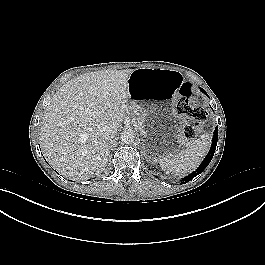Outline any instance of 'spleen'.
I'll list each match as a JSON object with an SVG mask.
<instances>
[{"mask_svg":"<svg viewBox=\"0 0 265 265\" xmlns=\"http://www.w3.org/2000/svg\"><path fill=\"white\" fill-rule=\"evenodd\" d=\"M210 136L203 134L189 144L186 149L159 158L163 171L174 176H181L196 169L206 155L210 146Z\"/></svg>","mask_w":265,"mask_h":265,"instance_id":"spleen-1","label":"spleen"}]
</instances>
